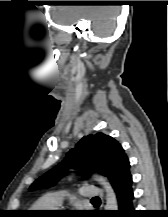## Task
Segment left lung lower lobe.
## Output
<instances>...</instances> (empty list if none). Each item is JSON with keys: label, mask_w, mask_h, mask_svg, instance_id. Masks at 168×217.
<instances>
[{"label": "left lung lower lobe", "mask_w": 168, "mask_h": 217, "mask_svg": "<svg viewBox=\"0 0 168 217\" xmlns=\"http://www.w3.org/2000/svg\"><path fill=\"white\" fill-rule=\"evenodd\" d=\"M130 164L126 165L125 175L122 181L114 187L120 210L115 214L116 217H132L134 193L132 189V176L129 172Z\"/></svg>", "instance_id": "1"}]
</instances>
